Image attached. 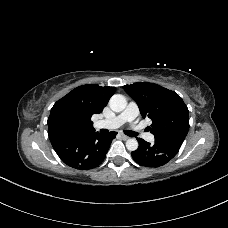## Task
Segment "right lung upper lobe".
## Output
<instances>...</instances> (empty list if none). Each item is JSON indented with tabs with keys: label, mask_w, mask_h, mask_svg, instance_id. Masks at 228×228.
<instances>
[{
	"label": "right lung upper lobe",
	"mask_w": 228,
	"mask_h": 228,
	"mask_svg": "<svg viewBox=\"0 0 228 228\" xmlns=\"http://www.w3.org/2000/svg\"><path fill=\"white\" fill-rule=\"evenodd\" d=\"M115 90V87L87 84L58 100L47 121L50 141L94 133L91 116L102 112Z\"/></svg>",
	"instance_id": "1"
}]
</instances>
